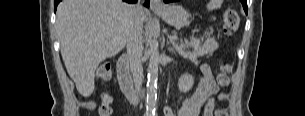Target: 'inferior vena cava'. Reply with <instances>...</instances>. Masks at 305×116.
<instances>
[{"label": "inferior vena cava", "instance_id": "obj_1", "mask_svg": "<svg viewBox=\"0 0 305 116\" xmlns=\"http://www.w3.org/2000/svg\"><path fill=\"white\" fill-rule=\"evenodd\" d=\"M136 12H140L142 7L134 6ZM143 23L138 16H135L129 23L127 30V54L130 62V69L133 76L135 89L140 92L143 78L142 51H143Z\"/></svg>", "mask_w": 305, "mask_h": 116}]
</instances>
